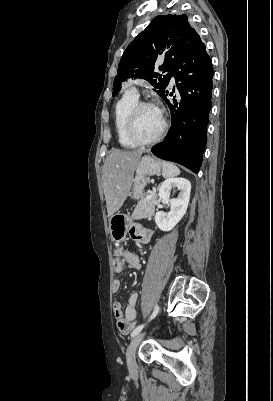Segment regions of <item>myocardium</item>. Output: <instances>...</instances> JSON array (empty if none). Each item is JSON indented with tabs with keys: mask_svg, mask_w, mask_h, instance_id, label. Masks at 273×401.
Returning a JSON list of instances; mask_svg holds the SVG:
<instances>
[{
	"mask_svg": "<svg viewBox=\"0 0 273 401\" xmlns=\"http://www.w3.org/2000/svg\"><path fill=\"white\" fill-rule=\"evenodd\" d=\"M142 107H149V108H154V109L158 110V108L150 102L140 101L137 104H135L126 119V122L124 125V133H125L127 139L130 140L131 142H133L139 146H147V145H152V144L159 142L164 137V135L166 134L167 129H168V123H167L166 119L162 117L163 118L162 128L155 137L150 138V139L140 138L134 131V125H135L136 115Z\"/></svg>",
	"mask_w": 273,
	"mask_h": 401,
	"instance_id": "myocardium-1",
	"label": "myocardium"
}]
</instances>
